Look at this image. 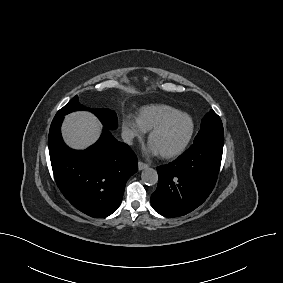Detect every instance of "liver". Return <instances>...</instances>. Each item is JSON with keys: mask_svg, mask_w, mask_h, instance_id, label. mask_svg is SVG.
Returning a JSON list of instances; mask_svg holds the SVG:
<instances>
[{"mask_svg": "<svg viewBox=\"0 0 283 283\" xmlns=\"http://www.w3.org/2000/svg\"><path fill=\"white\" fill-rule=\"evenodd\" d=\"M101 127L100 122L93 114L79 111L65 117L62 134L70 147L84 149L99 138Z\"/></svg>", "mask_w": 283, "mask_h": 283, "instance_id": "6515ba94", "label": "liver"}]
</instances>
